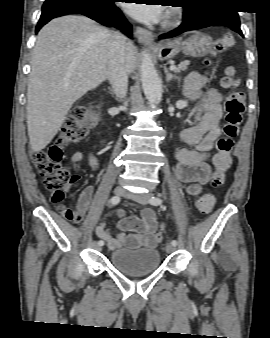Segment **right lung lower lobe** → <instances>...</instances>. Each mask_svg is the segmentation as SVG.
Instances as JSON below:
<instances>
[{
    "instance_id": "98d812e1",
    "label": "right lung lower lobe",
    "mask_w": 270,
    "mask_h": 338,
    "mask_svg": "<svg viewBox=\"0 0 270 338\" xmlns=\"http://www.w3.org/2000/svg\"><path fill=\"white\" fill-rule=\"evenodd\" d=\"M117 0L108 2L88 0H47L42 6V14L36 26L37 33L40 28L51 19L66 14H82L105 26L125 28L122 31L130 38L132 26L123 16L114 3Z\"/></svg>"
}]
</instances>
